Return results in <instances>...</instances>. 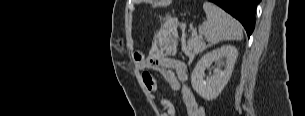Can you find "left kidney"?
<instances>
[{
	"mask_svg": "<svg viewBox=\"0 0 305 116\" xmlns=\"http://www.w3.org/2000/svg\"><path fill=\"white\" fill-rule=\"evenodd\" d=\"M237 57L238 51L232 45H224L205 54L198 61L191 75V85L194 91L207 101L217 98L232 75ZM222 58L226 59L225 63H222L224 69H216L214 75L205 80V69L209 68L213 62L219 64Z\"/></svg>",
	"mask_w": 305,
	"mask_h": 116,
	"instance_id": "obj_1",
	"label": "left kidney"
}]
</instances>
